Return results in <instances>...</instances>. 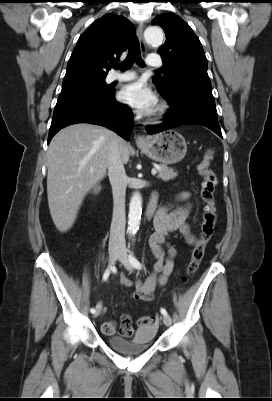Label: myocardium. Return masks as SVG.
I'll list each match as a JSON object with an SVG mask.
<instances>
[{
	"instance_id": "f54148a6",
	"label": "myocardium",
	"mask_w": 272,
	"mask_h": 401,
	"mask_svg": "<svg viewBox=\"0 0 272 401\" xmlns=\"http://www.w3.org/2000/svg\"><path fill=\"white\" fill-rule=\"evenodd\" d=\"M168 107L165 104H161L155 113L154 121H159L165 117L167 114Z\"/></svg>"
}]
</instances>
